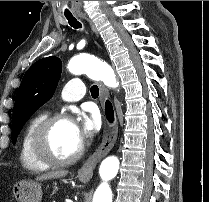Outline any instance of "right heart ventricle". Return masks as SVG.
Wrapping results in <instances>:
<instances>
[{
    "label": "right heart ventricle",
    "mask_w": 209,
    "mask_h": 202,
    "mask_svg": "<svg viewBox=\"0 0 209 202\" xmlns=\"http://www.w3.org/2000/svg\"><path fill=\"white\" fill-rule=\"evenodd\" d=\"M46 118L45 114H40L26 124L23 129L20 141L19 159L22 166L30 171L39 172L46 170L48 166L39 162L32 153L31 141L37 126Z\"/></svg>",
    "instance_id": "1"
}]
</instances>
